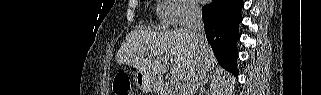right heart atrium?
Returning a JSON list of instances; mask_svg holds the SVG:
<instances>
[{
  "label": "right heart atrium",
  "instance_id": "1",
  "mask_svg": "<svg viewBox=\"0 0 321 95\" xmlns=\"http://www.w3.org/2000/svg\"><path fill=\"white\" fill-rule=\"evenodd\" d=\"M158 13L165 22L177 26L192 22L198 17L199 9L191 0H163Z\"/></svg>",
  "mask_w": 321,
  "mask_h": 95
}]
</instances>
